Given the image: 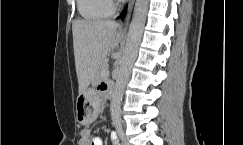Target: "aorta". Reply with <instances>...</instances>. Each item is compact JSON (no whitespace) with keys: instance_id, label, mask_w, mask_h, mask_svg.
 I'll return each mask as SVG.
<instances>
[{"instance_id":"1","label":"aorta","mask_w":243,"mask_h":145,"mask_svg":"<svg viewBox=\"0 0 243 145\" xmlns=\"http://www.w3.org/2000/svg\"><path fill=\"white\" fill-rule=\"evenodd\" d=\"M148 5L149 0H136L135 2L133 17L127 34L126 46L121 59L110 104L111 117L115 122L120 120L121 101L124 88L138 53V48L146 22Z\"/></svg>"}]
</instances>
